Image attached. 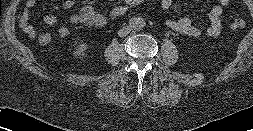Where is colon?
Masks as SVG:
<instances>
[{
  "label": "colon",
  "mask_w": 253,
  "mask_h": 131,
  "mask_svg": "<svg viewBox=\"0 0 253 131\" xmlns=\"http://www.w3.org/2000/svg\"><path fill=\"white\" fill-rule=\"evenodd\" d=\"M150 0H120L116 2L107 13L109 19H118L125 16L132 8L144 4ZM246 26V21L243 18H236L231 24L232 29L239 30ZM43 45L48 44L50 40L43 38Z\"/></svg>",
  "instance_id": "5ec220e1"
}]
</instances>
